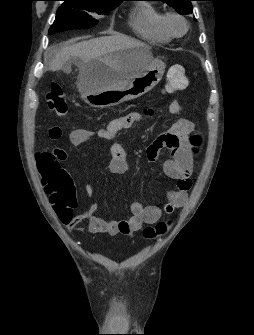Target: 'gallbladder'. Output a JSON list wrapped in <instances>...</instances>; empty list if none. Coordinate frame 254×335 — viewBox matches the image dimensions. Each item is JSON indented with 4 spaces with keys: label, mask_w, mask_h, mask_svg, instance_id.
Segmentation results:
<instances>
[{
    "label": "gallbladder",
    "mask_w": 254,
    "mask_h": 335,
    "mask_svg": "<svg viewBox=\"0 0 254 335\" xmlns=\"http://www.w3.org/2000/svg\"><path fill=\"white\" fill-rule=\"evenodd\" d=\"M63 70L65 71V70H66V67H64Z\"/></svg>",
    "instance_id": "obj_1"
}]
</instances>
